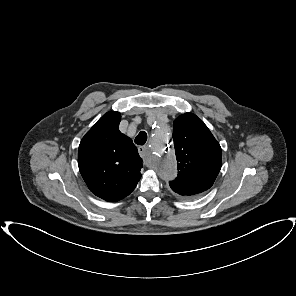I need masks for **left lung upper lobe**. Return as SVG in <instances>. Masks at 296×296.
<instances>
[{
    "label": "left lung upper lobe",
    "mask_w": 296,
    "mask_h": 296,
    "mask_svg": "<svg viewBox=\"0 0 296 296\" xmlns=\"http://www.w3.org/2000/svg\"><path fill=\"white\" fill-rule=\"evenodd\" d=\"M173 126L178 177L170 182V187L184 199H195L213 185L222 166L221 147L192 113L180 115Z\"/></svg>",
    "instance_id": "1"
}]
</instances>
